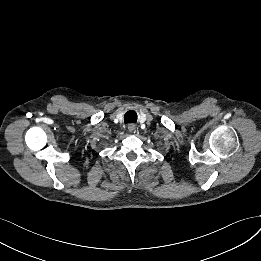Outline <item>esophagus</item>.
<instances>
[{
	"label": "esophagus",
	"mask_w": 261,
	"mask_h": 261,
	"mask_svg": "<svg viewBox=\"0 0 261 261\" xmlns=\"http://www.w3.org/2000/svg\"><path fill=\"white\" fill-rule=\"evenodd\" d=\"M128 130H129L130 132H132V131L135 132V125H134V124H130V125L128 126Z\"/></svg>",
	"instance_id": "34e87169"
}]
</instances>
